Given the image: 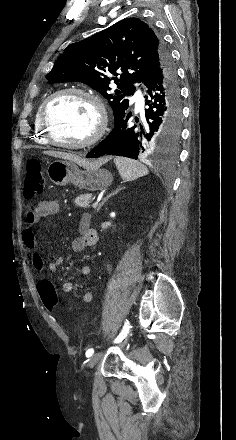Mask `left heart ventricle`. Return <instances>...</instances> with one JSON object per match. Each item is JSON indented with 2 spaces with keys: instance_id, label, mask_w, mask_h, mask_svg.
<instances>
[{
  "instance_id": "left-heart-ventricle-1",
  "label": "left heart ventricle",
  "mask_w": 236,
  "mask_h": 440,
  "mask_svg": "<svg viewBox=\"0 0 236 440\" xmlns=\"http://www.w3.org/2000/svg\"><path fill=\"white\" fill-rule=\"evenodd\" d=\"M47 121L55 140L79 143L94 132L97 115L87 98L69 94L60 96L51 103Z\"/></svg>"
}]
</instances>
